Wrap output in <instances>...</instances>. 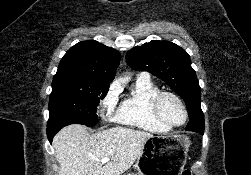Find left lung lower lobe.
<instances>
[{"label": "left lung lower lobe", "instance_id": "1", "mask_svg": "<svg viewBox=\"0 0 251 175\" xmlns=\"http://www.w3.org/2000/svg\"><path fill=\"white\" fill-rule=\"evenodd\" d=\"M188 113H189V122H193L197 119H201L203 116H200V114L203 112L202 111H198L196 109H188Z\"/></svg>", "mask_w": 251, "mask_h": 175}]
</instances>
